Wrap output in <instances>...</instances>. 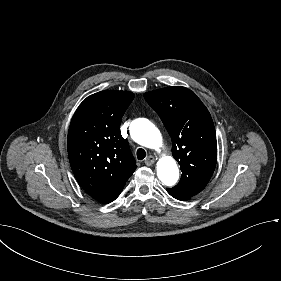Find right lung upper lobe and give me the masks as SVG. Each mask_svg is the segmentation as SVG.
Returning a JSON list of instances; mask_svg holds the SVG:
<instances>
[{
    "instance_id": "cb5924a9",
    "label": "right lung upper lobe",
    "mask_w": 281,
    "mask_h": 281,
    "mask_svg": "<svg viewBox=\"0 0 281 281\" xmlns=\"http://www.w3.org/2000/svg\"><path fill=\"white\" fill-rule=\"evenodd\" d=\"M134 94L105 90L77 108L68 131V156L82 188L99 202L124 187L137 168L120 123Z\"/></svg>"
}]
</instances>
